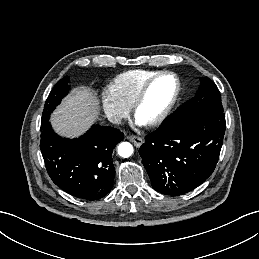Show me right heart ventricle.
<instances>
[{
    "mask_svg": "<svg viewBox=\"0 0 259 259\" xmlns=\"http://www.w3.org/2000/svg\"><path fill=\"white\" fill-rule=\"evenodd\" d=\"M157 71L135 69L117 75L110 87L111 92L129 108L143 84Z\"/></svg>",
    "mask_w": 259,
    "mask_h": 259,
    "instance_id": "obj_1",
    "label": "right heart ventricle"
}]
</instances>
